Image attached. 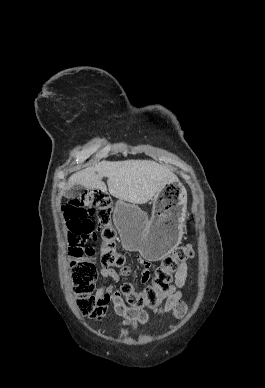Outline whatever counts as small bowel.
<instances>
[{
	"instance_id": "1",
	"label": "small bowel",
	"mask_w": 265,
	"mask_h": 388,
	"mask_svg": "<svg viewBox=\"0 0 265 388\" xmlns=\"http://www.w3.org/2000/svg\"><path fill=\"white\" fill-rule=\"evenodd\" d=\"M138 264L141 267L140 283L146 284L151 276V263L142 257H138ZM103 277L117 282L119 276L114 269L104 267L101 271ZM188 277V264L182 262L174 275V283L167 291L161 294L158 302L152 307L157 314L172 312L175 318L181 319L187 311V307L181 300L180 289L184 287ZM98 306L102 315L108 311V303L111 302V313L114 315L117 326L121 330L137 328L148 321V313L142 309L131 308L124 302L119 291L113 285L100 287L96 292Z\"/></svg>"
}]
</instances>
